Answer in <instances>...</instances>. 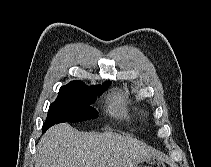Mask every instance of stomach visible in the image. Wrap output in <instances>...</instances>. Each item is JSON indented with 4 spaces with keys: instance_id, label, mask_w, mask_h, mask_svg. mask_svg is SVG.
<instances>
[{
    "instance_id": "0dacf381",
    "label": "stomach",
    "mask_w": 211,
    "mask_h": 167,
    "mask_svg": "<svg viewBox=\"0 0 211 167\" xmlns=\"http://www.w3.org/2000/svg\"><path fill=\"white\" fill-rule=\"evenodd\" d=\"M134 167H166L164 161L156 155H151L141 160Z\"/></svg>"
}]
</instances>
